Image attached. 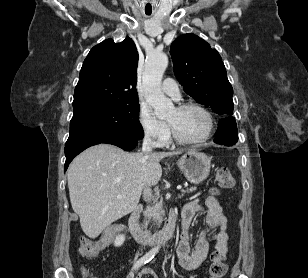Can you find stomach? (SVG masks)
Returning <instances> with one entry per match:
<instances>
[{
	"label": "stomach",
	"mask_w": 308,
	"mask_h": 278,
	"mask_svg": "<svg viewBox=\"0 0 308 278\" xmlns=\"http://www.w3.org/2000/svg\"><path fill=\"white\" fill-rule=\"evenodd\" d=\"M210 162L206 154L190 150L177 161V165L189 182L199 184L209 176Z\"/></svg>",
	"instance_id": "1"
}]
</instances>
